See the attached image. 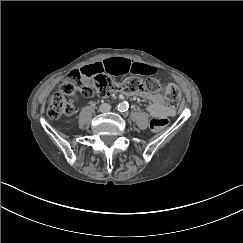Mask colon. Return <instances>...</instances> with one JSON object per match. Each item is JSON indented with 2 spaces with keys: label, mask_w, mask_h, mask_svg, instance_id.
<instances>
[{
  "label": "colon",
  "mask_w": 243,
  "mask_h": 243,
  "mask_svg": "<svg viewBox=\"0 0 243 243\" xmlns=\"http://www.w3.org/2000/svg\"><path fill=\"white\" fill-rule=\"evenodd\" d=\"M116 91L126 94L142 92L157 94L162 92L164 100L172 106H177L181 100L177 86L174 84L163 85L155 78L128 77L122 81H115L102 72L87 74L80 70H74L62 81L58 92L52 95L47 115L56 120L64 115L73 114L74 102L78 95L85 97H91L95 94L108 96ZM167 125L168 120L166 118H154L150 122L153 131H160Z\"/></svg>",
  "instance_id": "5ec220e1"
}]
</instances>
